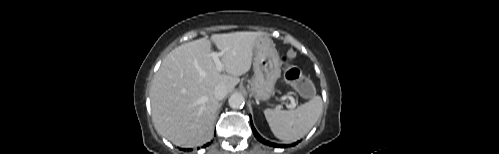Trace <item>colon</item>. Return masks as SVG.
Here are the masks:
<instances>
[{
	"instance_id": "5ec220e1",
	"label": "colon",
	"mask_w": 499,
	"mask_h": 154,
	"mask_svg": "<svg viewBox=\"0 0 499 154\" xmlns=\"http://www.w3.org/2000/svg\"><path fill=\"white\" fill-rule=\"evenodd\" d=\"M284 75L296 90L304 97H311L315 88L310 79L296 65L284 62Z\"/></svg>"
}]
</instances>
